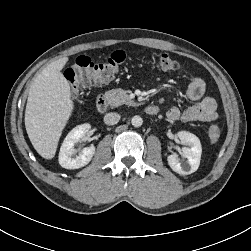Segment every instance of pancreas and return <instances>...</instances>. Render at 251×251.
Masks as SVG:
<instances>
[{"mask_svg":"<svg viewBox=\"0 0 251 251\" xmlns=\"http://www.w3.org/2000/svg\"><path fill=\"white\" fill-rule=\"evenodd\" d=\"M106 98L109 100L111 106L118 107L123 104L133 105L134 102L129 98L124 90L112 89L105 93Z\"/></svg>","mask_w":251,"mask_h":251,"instance_id":"pancreas-1","label":"pancreas"}]
</instances>
